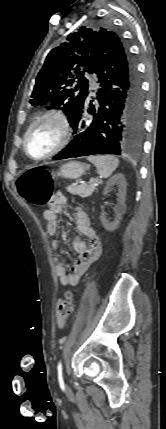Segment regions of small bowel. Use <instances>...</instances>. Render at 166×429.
<instances>
[{"instance_id":"small-bowel-1","label":"small bowel","mask_w":166,"mask_h":429,"mask_svg":"<svg viewBox=\"0 0 166 429\" xmlns=\"http://www.w3.org/2000/svg\"><path fill=\"white\" fill-rule=\"evenodd\" d=\"M65 203L66 197L62 193L54 195L50 208L44 212V218L47 221V232L53 238L55 272L60 284L67 287L78 284L90 266L99 258L102 244L91 225L88 214L82 209H77L75 215L77 230L81 235L90 239L91 244L87 245L81 239L74 240L73 249L79 254V258L72 264L71 272L68 273L67 266L61 261L59 241L56 237L59 227L58 216L63 212Z\"/></svg>"}]
</instances>
